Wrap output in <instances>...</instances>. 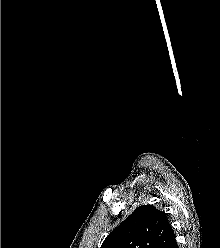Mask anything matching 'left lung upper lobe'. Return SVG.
Wrapping results in <instances>:
<instances>
[{
    "mask_svg": "<svg viewBox=\"0 0 220 248\" xmlns=\"http://www.w3.org/2000/svg\"><path fill=\"white\" fill-rule=\"evenodd\" d=\"M174 237L167 215L143 205L106 237L101 248H167Z\"/></svg>",
    "mask_w": 220,
    "mask_h": 248,
    "instance_id": "obj_1",
    "label": "left lung upper lobe"
}]
</instances>
